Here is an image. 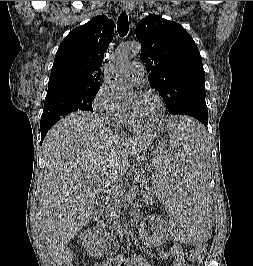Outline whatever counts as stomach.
I'll use <instances>...</instances> for the list:
<instances>
[{"label": "stomach", "mask_w": 253, "mask_h": 266, "mask_svg": "<svg viewBox=\"0 0 253 266\" xmlns=\"http://www.w3.org/2000/svg\"><path fill=\"white\" fill-rule=\"evenodd\" d=\"M166 142L158 137L151 138L139 151L137 159L147 170H153L154 160H159V151L165 150Z\"/></svg>", "instance_id": "0dacf381"}]
</instances>
